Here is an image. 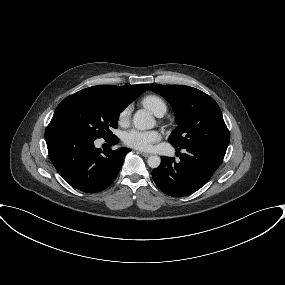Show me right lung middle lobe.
<instances>
[{
  "instance_id": "1",
  "label": "right lung middle lobe",
  "mask_w": 285,
  "mask_h": 285,
  "mask_svg": "<svg viewBox=\"0 0 285 285\" xmlns=\"http://www.w3.org/2000/svg\"><path fill=\"white\" fill-rule=\"evenodd\" d=\"M124 106L106 98L73 94L65 98L56 108L52 120L71 124L91 137L108 139L115 135Z\"/></svg>"
}]
</instances>
